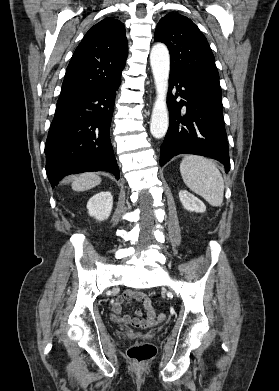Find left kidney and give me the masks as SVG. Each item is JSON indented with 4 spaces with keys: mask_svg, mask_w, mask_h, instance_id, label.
Here are the masks:
<instances>
[{
    "mask_svg": "<svg viewBox=\"0 0 279 391\" xmlns=\"http://www.w3.org/2000/svg\"><path fill=\"white\" fill-rule=\"evenodd\" d=\"M179 198L183 207L190 212L202 213L206 211L205 204L186 190H181L179 192Z\"/></svg>",
    "mask_w": 279,
    "mask_h": 391,
    "instance_id": "obj_1",
    "label": "left kidney"
}]
</instances>
